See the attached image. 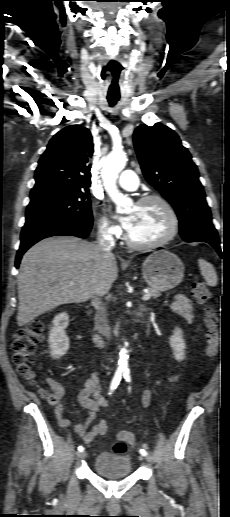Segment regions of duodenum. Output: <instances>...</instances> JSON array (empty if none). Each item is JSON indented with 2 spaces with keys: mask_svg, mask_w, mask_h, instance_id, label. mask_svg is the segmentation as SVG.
Returning a JSON list of instances; mask_svg holds the SVG:
<instances>
[{
  "mask_svg": "<svg viewBox=\"0 0 230 517\" xmlns=\"http://www.w3.org/2000/svg\"><path fill=\"white\" fill-rule=\"evenodd\" d=\"M93 313V309H90L88 311V315H91ZM93 340L95 341L96 344H98L99 346H104L106 341L105 339L98 333V332H94L93 333Z\"/></svg>",
  "mask_w": 230,
  "mask_h": 517,
  "instance_id": "1",
  "label": "duodenum"
}]
</instances>
